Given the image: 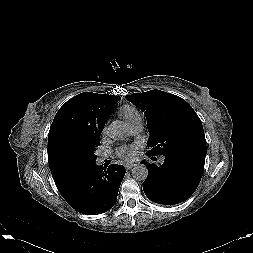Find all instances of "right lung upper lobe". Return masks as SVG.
I'll list each match as a JSON object with an SVG mask.
<instances>
[{"instance_id":"1","label":"right lung upper lobe","mask_w":253,"mask_h":253,"mask_svg":"<svg viewBox=\"0 0 253 253\" xmlns=\"http://www.w3.org/2000/svg\"><path fill=\"white\" fill-rule=\"evenodd\" d=\"M120 96L84 92L57 112L48 134V162L53 177L64 172L61 161L72 149L100 144V135Z\"/></svg>"}]
</instances>
